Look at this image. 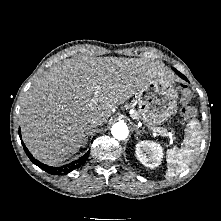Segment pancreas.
Returning a JSON list of instances; mask_svg holds the SVG:
<instances>
[{
    "mask_svg": "<svg viewBox=\"0 0 221 221\" xmlns=\"http://www.w3.org/2000/svg\"><path fill=\"white\" fill-rule=\"evenodd\" d=\"M133 117L136 118V117H137V113H134V114H133ZM157 129H159V131L162 132V133H164V134H165V132H166V129H164V128H157Z\"/></svg>",
    "mask_w": 221,
    "mask_h": 221,
    "instance_id": "1",
    "label": "pancreas"
}]
</instances>
